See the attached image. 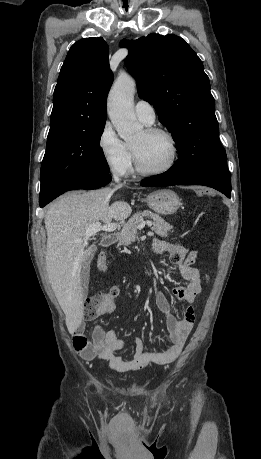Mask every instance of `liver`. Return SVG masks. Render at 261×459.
Returning <instances> with one entry per match:
<instances>
[{"instance_id": "6515ba94", "label": "liver", "mask_w": 261, "mask_h": 459, "mask_svg": "<svg viewBox=\"0 0 261 459\" xmlns=\"http://www.w3.org/2000/svg\"><path fill=\"white\" fill-rule=\"evenodd\" d=\"M116 189L69 192L54 202L45 214L47 231L46 268L51 287L65 313L66 326L72 334L84 316L80 273L92 247L75 242L96 223L124 220L132 209L125 201H109Z\"/></svg>"}]
</instances>
